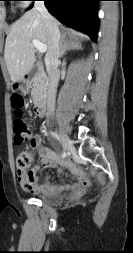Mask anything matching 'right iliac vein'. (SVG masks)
<instances>
[{
	"label": "right iliac vein",
	"mask_w": 133,
	"mask_h": 253,
	"mask_svg": "<svg viewBox=\"0 0 133 253\" xmlns=\"http://www.w3.org/2000/svg\"><path fill=\"white\" fill-rule=\"evenodd\" d=\"M61 137H62V146H63V149L66 151L68 150L72 143H71V140L69 139V137L65 134V133H61Z\"/></svg>",
	"instance_id": "obj_1"
}]
</instances>
